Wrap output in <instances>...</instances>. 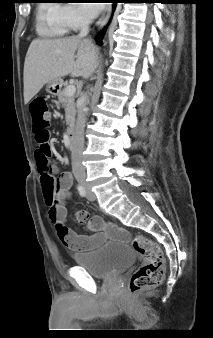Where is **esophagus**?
Masks as SVG:
<instances>
[{
	"label": "esophagus",
	"instance_id": "obj_1",
	"mask_svg": "<svg viewBox=\"0 0 213 338\" xmlns=\"http://www.w3.org/2000/svg\"><path fill=\"white\" fill-rule=\"evenodd\" d=\"M112 12V3H107L101 17L99 18L98 22H97V29L100 30L103 28V26L106 24V22L108 21L110 15Z\"/></svg>",
	"mask_w": 213,
	"mask_h": 338
}]
</instances>
